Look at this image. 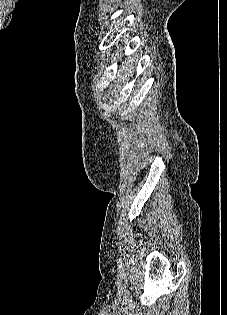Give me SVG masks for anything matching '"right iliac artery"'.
<instances>
[{"label": "right iliac artery", "mask_w": 227, "mask_h": 315, "mask_svg": "<svg viewBox=\"0 0 227 315\" xmlns=\"http://www.w3.org/2000/svg\"><path fill=\"white\" fill-rule=\"evenodd\" d=\"M118 266H119V269L122 268V261L120 259L118 260Z\"/></svg>", "instance_id": "82829eb1"}]
</instances>
